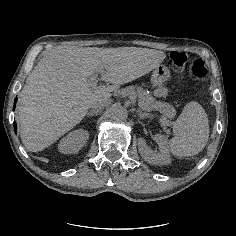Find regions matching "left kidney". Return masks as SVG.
I'll return each instance as SVG.
<instances>
[{
  "instance_id": "1",
  "label": "left kidney",
  "mask_w": 236,
  "mask_h": 236,
  "mask_svg": "<svg viewBox=\"0 0 236 236\" xmlns=\"http://www.w3.org/2000/svg\"><path fill=\"white\" fill-rule=\"evenodd\" d=\"M154 140L157 142L160 148V152L156 153L151 150L144 139H138V149L141 157L151 164L165 165L170 163L171 158L169 155V147L164 136L157 134L154 136Z\"/></svg>"
}]
</instances>
